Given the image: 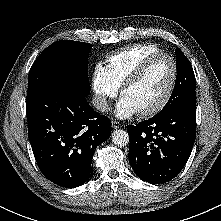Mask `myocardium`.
I'll return each instance as SVG.
<instances>
[{
  "label": "myocardium",
  "instance_id": "f54148a6",
  "mask_svg": "<svg viewBox=\"0 0 221 221\" xmlns=\"http://www.w3.org/2000/svg\"><path fill=\"white\" fill-rule=\"evenodd\" d=\"M160 57H166L169 59V61L171 62L172 65V75H171V79L169 82V85L167 87V90L165 91L163 97L160 99V101L153 107L146 109V110H142L139 111L140 115L142 116H153L157 113H159L160 111H162L166 105L168 104V102L170 101L174 89H175V85L177 82V78H178V65L177 62L175 60V58L167 53V52H163V51H159L153 54L148 55L147 57H145L140 63H138L128 74V76L126 77V79L124 80V82L121 85V89H120V93L123 96L124 92L131 87L132 85H134L138 79L142 76V74L145 72V70L148 68V66L157 58Z\"/></svg>",
  "mask_w": 221,
  "mask_h": 221
}]
</instances>
